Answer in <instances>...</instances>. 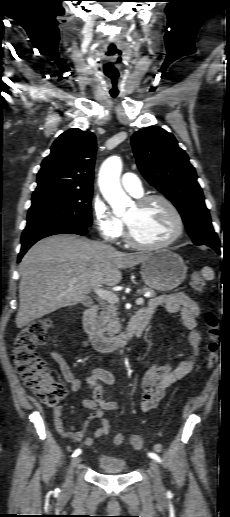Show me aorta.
<instances>
[{
  "instance_id": "762f6f07",
  "label": "aorta",
  "mask_w": 230,
  "mask_h": 517,
  "mask_svg": "<svg viewBox=\"0 0 230 517\" xmlns=\"http://www.w3.org/2000/svg\"><path fill=\"white\" fill-rule=\"evenodd\" d=\"M122 161L118 156L107 158L99 171V187L102 195L115 213H121L130 201L120 184Z\"/></svg>"
}]
</instances>
